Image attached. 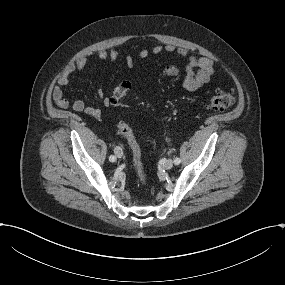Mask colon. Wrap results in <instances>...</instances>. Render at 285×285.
Instances as JSON below:
<instances>
[{
	"instance_id": "5ec220e1",
	"label": "colon",
	"mask_w": 285,
	"mask_h": 285,
	"mask_svg": "<svg viewBox=\"0 0 285 285\" xmlns=\"http://www.w3.org/2000/svg\"><path fill=\"white\" fill-rule=\"evenodd\" d=\"M164 74L167 76H178L179 70L174 66H167L164 69ZM131 91V84L128 81H122L113 91L110 99L114 106L121 105L129 92ZM235 103V97L230 91L220 90L210 97L208 101V108L217 112H223L232 107ZM118 133L123 136L129 144L133 155V167L139 182L143 185L147 183V175L144 171L141 162V151L136 139L125 122H119L117 124Z\"/></svg>"
}]
</instances>
